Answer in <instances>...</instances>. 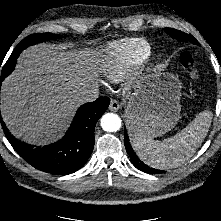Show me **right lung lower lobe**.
Here are the masks:
<instances>
[{"label":"right lung lower lobe","mask_w":221,"mask_h":221,"mask_svg":"<svg viewBox=\"0 0 221 221\" xmlns=\"http://www.w3.org/2000/svg\"><path fill=\"white\" fill-rule=\"evenodd\" d=\"M22 50L24 46L19 43L7 63L12 61L16 64ZM109 103L108 97H100L94 102L82 105L65 136L58 142L44 147L20 142L7 131L5 134L14 150L36 169L56 175H67L82 168L91 155L95 142V125L107 110Z\"/></svg>","instance_id":"right-lung-lower-lobe-1"}]
</instances>
